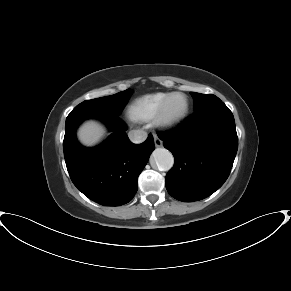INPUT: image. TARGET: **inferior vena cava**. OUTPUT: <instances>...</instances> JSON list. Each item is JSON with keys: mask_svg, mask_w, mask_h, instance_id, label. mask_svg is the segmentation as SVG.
I'll return each mask as SVG.
<instances>
[{"mask_svg": "<svg viewBox=\"0 0 291 291\" xmlns=\"http://www.w3.org/2000/svg\"><path fill=\"white\" fill-rule=\"evenodd\" d=\"M128 137L131 140V142H133L135 144H139V143H142L146 140L147 133L142 129L131 130L128 133Z\"/></svg>", "mask_w": 291, "mask_h": 291, "instance_id": "602c4592", "label": "inferior vena cava"}]
</instances>
